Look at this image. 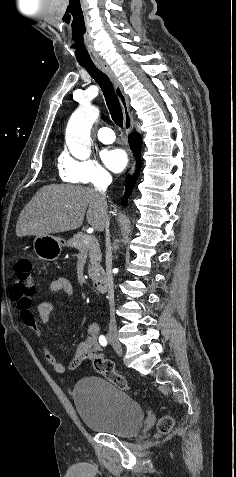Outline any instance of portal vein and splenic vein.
<instances>
[{
  "label": "portal vein and splenic vein",
  "mask_w": 236,
  "mask_h": 477,
  "mask_svg": "<svg viewBox=\"0 0 236 477\" xmlns=\"http://www.w3.org/2000/svg\"><path fill=\"white\" fill-rule=\"evenodd\" d=\"M93 240H95V236L94 235H89L85 238L84 243L89 244Z\"/></svg>",
  "instance_id": "obj_1"
}]
</instances>
